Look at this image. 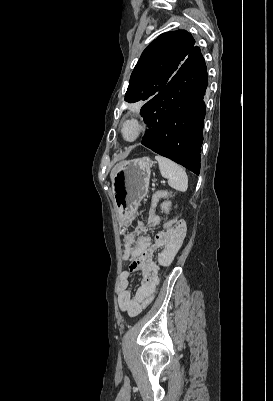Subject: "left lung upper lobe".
I'll use <instances>...</instances> for the list:
<instances>
[{"label":"left lung upper lobe","instance_id":"obj_1","mask_svg":"<svg viewBox=\"0 0 273 401\" xmlns=\"http://www.w3.org/2000/svg\"><path fill=\"white\" fill-rule=\"evenodd\" d=\"M194 44L185 30L166 32L152 41L131 74L124 100L134 103L152 99L167 85Z\"/></svg>","mask_w":273,"mask_h":401}]
</instances>
